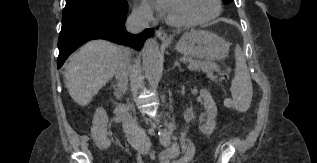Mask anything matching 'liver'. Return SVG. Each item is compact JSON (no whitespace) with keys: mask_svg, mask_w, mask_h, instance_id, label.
Listing matches in <instances>:
<instances>
[{"mask_svg":"<svg viewBox=\"0 0 317 163\" xmlns=\"http://www.w3.org/2000/svg\"><path fill=\"white\" fill-rule=\"evenodd\" d=\"M122 47L105 40L83 45L70 59L64 82L71 98L80 106L88 105L113 77Z\"/></svg>","mask_w":317,"mask_h":163,"instance_id":"1","label":"liver"}]
</instances>
